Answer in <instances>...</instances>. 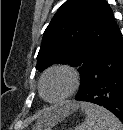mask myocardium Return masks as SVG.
<instances>
[{"label":"myocardium","mask_w":123,"mask_h":130,"mask_svg":"<svg viewBox=\"0 0 123 130\" xmlns=\"http://www.w3.org/2000/svg\"><path fill=\"white\" fill-rule=\"evenodd\" d=\"M56 71H62V72H65L66 74H68V76L70 77V86L67 89V91L64 94H62L61 96L54 98V99H49L44 95L43 85H44V81L47 78V76ZM80 81H81L80 74L75 67H73L69 64H65V63L54 64V65L48 67L43 72L40 82H39V92H40V95L42 96V98L44 100H46L47 102L58 103V102H61L65 99L69 98L70 96H72L79 88Z\"/></svg>","instance_id":"myocardium-1"}]
</instances>
